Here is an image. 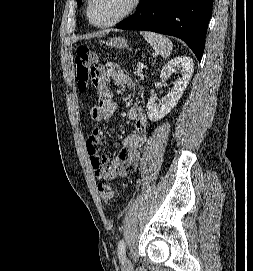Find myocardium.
I'll list each match as a JSON object with an SVG mask.
<instances>
[{
    "label": "myocardium",
    "mask_w": 253,
    "mask_h": 271,
    "mask_svg": "<svg viewBox=\"0 0 253 271\" xmlns=\"http://www.w3.org/2000/svg\"><path fill=\"white\" fill-rule=\"evenodd\" d=\"M140 2H141V0H131L128 9L125 12H123L120 16H118L114 20H112L108 23H105V24H99L94 20L92 13H91V7H92L93 0H88L86 14H87L88 20L90 21V23L93 26H95L97 28H102V29L109 28V27H112V26L120 23L121 21H123L124 19H126L130 15H132L139 7Z\"/></svg>",
    "instance_id": "1"
}]
</instances>
